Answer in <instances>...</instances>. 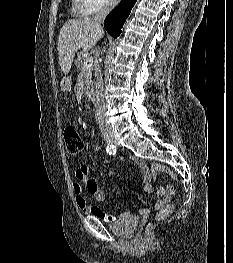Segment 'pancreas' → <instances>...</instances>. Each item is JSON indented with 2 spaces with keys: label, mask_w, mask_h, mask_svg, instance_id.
Here are the masks:
<instances>
[{
  "label": "pancreas",
  "mask_w": 233,
  "mask_h": 263,
  "mask_svg": "<svg viewBox=\"0 0 233 263\" xmlns=\"http://www.w3.org/2000/svg\"><path fill=\"white\" fill-rule=\"evenodd\" d=\"M85 57H84V53L83 52H78L77 54V60H76V68L78 71H80L81 73H83L84 77L86 78V80H90L91 76H92V72H93V67H84V61H85ZM93 88V83H87L84 92L86 95H90L91 94V90Z\"/></svg>",
  "instance_id": "pancreas-1"
}]
</instances>
